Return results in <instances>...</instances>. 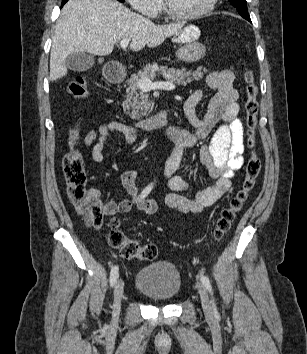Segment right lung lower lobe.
<instances>
[{
    "label": "right lung lower lobe",
    "mask_w": 307,
    "mask_h": 354,
    "mask_svg": "<svg viewBox=\"0 0 307 354\" xmlns=\"http://www.w3.org/2000/svg\"><path fill=\"white\" fill-rule=\"evenodd\" d=\"M68 0H62V6L67 2Z\"/></svg>",
    "instance_id": "1"
}]
</instances>
